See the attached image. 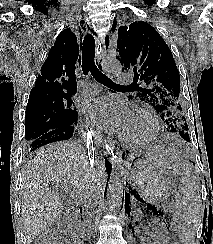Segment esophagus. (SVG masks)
Here are the masks:
<instances>
[{"instance_id": "34e87169", "label": "esophagus", "mask_w": 213, "mask_h": 244, "mask_svg": "<svg viewBox=\"0 0 213 244\" xmlns=\"http://www.w3.org/2000/svg\"><path fill=\"white\" fill-rule=\"evenodd\" d=\"M106 52H107L106 45L104 44L103 49L98 53L97 58H96V63L98 65V68H100L101 70L103 69V62L105 59ZM105 147L108 150L109 154L111 155L112 159H114L115 153H117L119 151V145L117 144V142L110 139L105 142Z\"/></svg>"}]
</instances>
